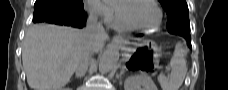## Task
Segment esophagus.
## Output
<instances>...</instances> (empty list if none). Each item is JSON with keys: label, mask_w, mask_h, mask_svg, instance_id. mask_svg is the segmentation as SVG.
<instances>
[{"label": "esophagus", "mask_w": 228, "mask_h": 90, "mask_svg": "<svg viewBox=\"0 0 228 90\" xmlns=\"http://www.w3.org/2000/svg\"><path fill=\"white\" fill-rule=\"evenodd\" d=\"M114 40L118 43L124 42V38L121 35H115Z\"/></svg>", "instance_id": "1"}]
</instances>
